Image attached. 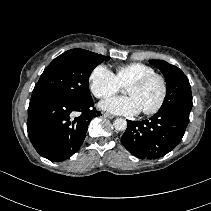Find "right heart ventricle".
<instances>
[{"mask_svg":"<svg viewBox=\"0 0 211 211\" xmlns=\"http://www.w3.org/2000/svg\"><path fill=\"white\" fill-rule=\"evenodd\" d=\"M155 73V69L144 63H129L116 68L115 76L121 86L127 87L144 76Z\"/></svg>","mask_w":211,"mask_h":211,"instance_id":"1","label":"right heart ventricle"}]
</instances>
